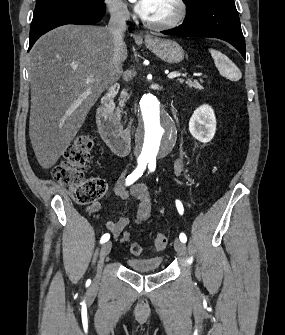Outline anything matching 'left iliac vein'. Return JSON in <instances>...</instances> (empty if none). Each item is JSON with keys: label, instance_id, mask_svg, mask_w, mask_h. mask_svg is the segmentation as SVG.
<instances>
[{"label": "left iliac vein", "instance_id": "obj_1", "mask_svg": "<svg viewBox=\"0 0 285 335\" xmlns=\"http://www.w3.org/2000/svg\"><path fill=\"white\" fill-rule=\"evenodd\" d=\"M174 248L175 251L180 254V255H185L186 254V245L180 241L179 239H176L174 241Z\"/></svg>", "mask_w": 285, "mask_h": 335}]
</instances>
